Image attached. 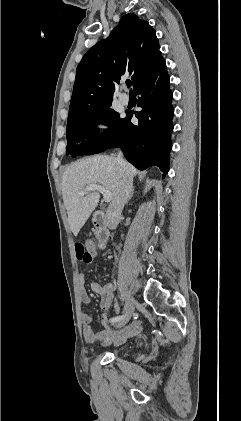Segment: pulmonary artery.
Wrapping results in <instances>:
<instances>
[{"mask_svg":"<svg viewBox=\"0 0 241 421\" xmlns=\"http://www.w3.org/2000/svg\"><path fill=\"white\" fill-rule=\"evenodd\" d=\"M118 98L120 103L123 105H127L129 103V96L126 93H121Z\"/></svg>","mask_w":241,"mask_h":421,"instance_id":"e3ab8cb5","label":"pulmonary artery"}]
</instances>
